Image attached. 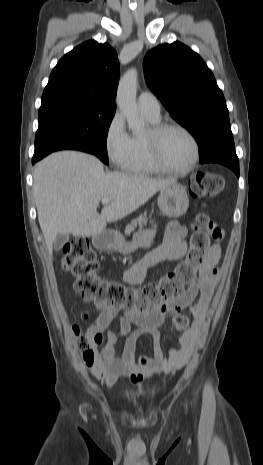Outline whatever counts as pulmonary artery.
<instances>
[{"label": "pulmonary artery", "instance_id": "pulmonary-artery-1", "mask_svg": "<svg viewBox=\"0 0 263 465\" xmlns=\"http://www.w3.org/2000/svg\"><path fill=\"white\" fill-rule=\"evenodd\" d=\"M140 111L153 118H160V102L151 92H142L138 97Z\"/></svg>", "mask_w": 263, "mask_h": 465}]
</instances>
